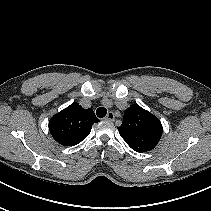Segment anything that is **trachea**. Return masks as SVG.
I'll list each match as a JSON object with an SVG mask.
<instances>
[{"label": "trachea", "instance_id": "trachea-1", "mask_svg": "<svg viewBox=\"0 0 211 211\" xmlns=\"http://www.w3.org/2000/svg\"><path fill=\"white\" fill-rule=\"evenodd\" d=\"M106 114H107V110H106V108H104V107H99V108L96 110V115H97L99 118H103Z\"/></svg>", "mask_w": 211, "mask_h": 211}]
</instances>
